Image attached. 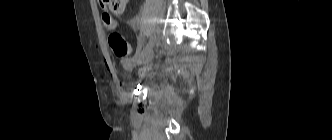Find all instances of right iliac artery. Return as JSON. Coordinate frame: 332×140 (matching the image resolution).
Masks as SVG:
<instances>
[{"label": "right iliac artery", "instance_id": "right-iliac-artery-1", "mask_svg": "<svg viewBox=\"0 0 332 140\" xmlns=\"http://www.w3.org/2000/svg\"><path fill=\"white\" fill-rule=\"evenodd\" d=\"M145 45H146V39H143V41L141 42V46H140L138 52L132 58L133 61H137L138 60V58L141 56L143 50L145 49Z\"/></svg>", "mask_w": 332, "mask_h": 140}]
</instances>
